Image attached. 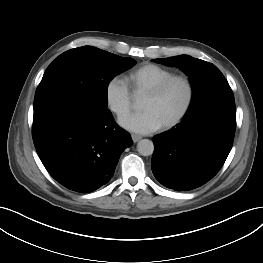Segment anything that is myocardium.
Wrapping results in <instances>:
<instances>
[{
	"instance_id": "f54148a6",
	"label": "myocardium",
	"mask_w": 263,
	"mask_h": 263,
	"mask_svg": "<svg viewBox=\"0 0 263 263\" xmlns=\"http://www.w3.org/2000/svg\"><path fill=\"white\" fill-rule=\"evenodd\" d=\"M176 81H180L185 85L187 90V96L185 103L180 109V111L173 118H171L169 121L163 124V128L165 129H169L178 124L190 110L195 96V89L192 80L190 79V77L184 74L171 75L163 79L162 81H160L145 92V95L148 96H160L173 82Z\"/></svg>"
}]
</instances>
